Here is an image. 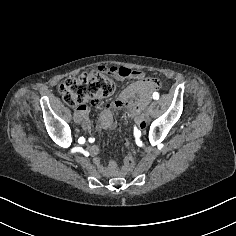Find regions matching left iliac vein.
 <instances>
[{
	"instance_id": "4c4485c4",
	"label": "left iliac vein",
	"mask_w": 236,
	"mask_h": 236,
	"mask_svg": "<svg viewBox=\"0 0 236 236\" xmlns=\"http://www.w3.org/2000/svg\"><path fill=\"white\" fill-rule=\"evenodd\" d=\"M150 113H151V110L147 109L144 116L147 118L150 116Z\"/></svg>"
}]
</instances>
